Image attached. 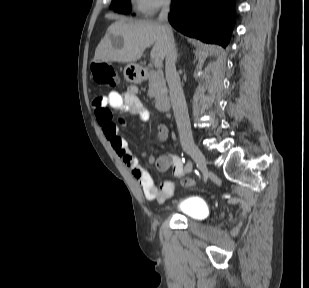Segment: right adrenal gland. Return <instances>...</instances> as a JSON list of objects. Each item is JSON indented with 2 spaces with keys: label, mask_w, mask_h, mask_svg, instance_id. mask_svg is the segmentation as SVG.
<instances>
[{
  "label": "right adrenal gland",
  "mask_w": 309,
  "mask_h": 288,
  "mask_svg": "<svg viewBox=\"0 0 309 288\" xmlns=\"http://www.w3.org/2000/svg\"><path fill=\"white\" fill-rule=\"evenodd\" d=\"M178 56H179V55H178V51H177V49H176V59L178 58Z\"/></svg>",
  "instance_id": "right-adrenal-gland-1"
}]
</instances>
